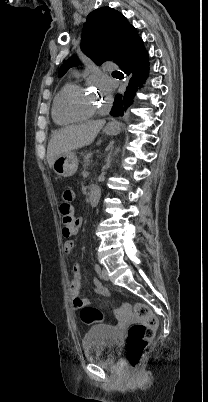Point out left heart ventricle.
Listing matches in <instances>:
<instances>
[{"mask_svg": "<svg viewBox=\"0 0 208 402\" xmlns=\"http://www.w3.org/2000/svg\"><path fill=\"white\" fill-rule=\"evenodd\" d=\"M101 98L93 95H88L85 91L78 94L75 98V105L84 111L90 110L99 103Z\"/></svg>", "mask_w": 208, "mask_h": 402, "instance_id": "left-heart-ventricle-1", "label": "left heart ventricle"}]
</instances>
